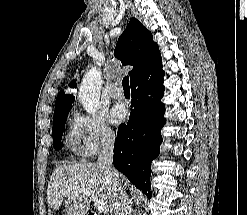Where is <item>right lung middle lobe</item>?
I'll list each match as a JSON object with an SVG mask.
<instances>
[{
  "label": "right lung middle lobe",
  "instance_id": "dd1d6c3e",
  "mask_svg": "<svg viewBox=\"0 0 247 215\" xmlns=\"http://www.w3.org/2000/svg\"><path fill=\"white\" fill-rule=\"evenodd\" d=\"M69 113V109H66L60 113L54 115L53 118V146L56 150L62 147L61 138L64 131V126L66 123L67 115Z\"/></svg>",
  "mask_w": 247,
  "mask_h": 215
}]
</instances>
